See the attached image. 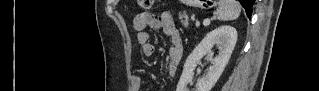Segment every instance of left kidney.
<instances>
[{"instance_id":"obj_1","label":"left kidney","mask_w":319,"mask_h":91,"mask_svg":"<svg viewBox=\"0 0 319 91\" xmlns=\"http://www.w3.org/2000/svg\"><path fill=\"white\" fill-rule=\"evenodd\" d=\"M237 41V31L234 27L224 25L209 32L196 46L186 59L183 72L176 91H190L187 85L194 76L197 62L204 56H208L211 66L205 76L200 78L192 91H210L223 73ZM219 49L218 55L213 56V46Z\"/></svg>"}]
</instances>
